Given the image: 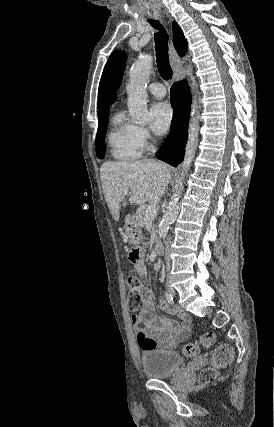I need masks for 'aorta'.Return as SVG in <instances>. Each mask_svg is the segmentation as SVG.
Instances as JSON below:
<instances>
[{"mask_svg": "<svg viewBox=\"0 0 274 427\" xmlns=\"http://www.w3.org/2000/svg\"><path fill=\"white\" fill-rule=\"evenodd\" d=\"M153 59L151 56L142 55L132 65L129 73V81L126 86L128 94V107L131 117L138 123H145L149 120V114L146 107L147 92L146 83L150 75ZM194 92V85H191ZM197 102L195 95L191 106V118L188 130V141L185 148L184 161L181 164V176L176 181L175 192L171 197L163 218L159 225L158 234L161 238H165L170 225L175 221L178 214V199L183 190V179L195 157L196 147L199 135V119L197 116Z\"/></svg>", "mask_w": 274, "mask_h": 427, "instance_id": "obj_1", "label": "aorta"}]
</instances>
